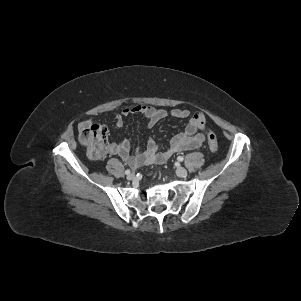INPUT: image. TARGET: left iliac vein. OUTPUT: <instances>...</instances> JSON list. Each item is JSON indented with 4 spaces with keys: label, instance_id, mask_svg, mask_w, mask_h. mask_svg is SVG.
I'll list each match as a JSON object with an SVG mask.
<instances>
[{
    "label": "left iliac vein",
    "instance_id": "left-iliac-vein-1",
    "mask_svg": "<svg viewBox=\"0 0 301 301\" xmlns=\"http://www.w3.org/2000/svg\"><path fill=\"white\" fill-rule=\"evenodd\" d=\"M176 173L179 177H186L187 176V170L181 166L177 167Z\"/></svg>",
    "mask_w": 301,
    "mask_h": 301
}]
</instances>
